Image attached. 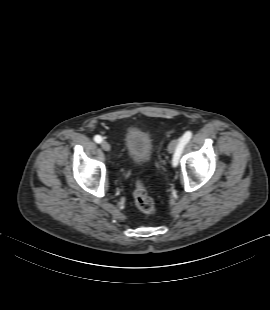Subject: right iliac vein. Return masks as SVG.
Masks as SVG:
<instances>
[{"label": "right iliac vein", "mask_w": 270, "mask_h": 310, "mask_svg": "<svg viewBox=\"0 0 270 310\" xmlns=\"http://www.w3.org/2000/svg\"><path fill=\"white\" fill-rule=\"evenodd\" d=\"M101 147H102V149L105 150V151H110V149H111L110 144H109L108 142H106V141H103V142L101 143Z\"/></svg>", "instance_id": "obj_1"}]
</instances>
